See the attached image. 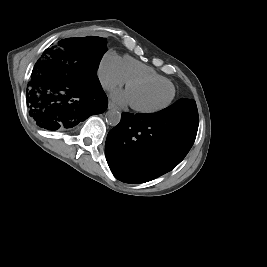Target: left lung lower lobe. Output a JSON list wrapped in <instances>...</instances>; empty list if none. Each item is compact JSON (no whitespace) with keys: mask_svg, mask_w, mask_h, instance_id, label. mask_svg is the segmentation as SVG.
<instances>
[{"mask_svg":"<svg viewBox=\"0 0 267 267\" xmlns=\"http://www.w3.org/2000/svg\"><path fill=\"white\" fill-rule=\"evenodd\" d=\"M198 117L180 113H123L108 133L106 159L126 183L153 180L175 168L192 147Z\"/></svg>","mask_w":267,"mask_h":267,"instance_id":"0a47b994","label":"left lung lower lobe"}]
</instances>
